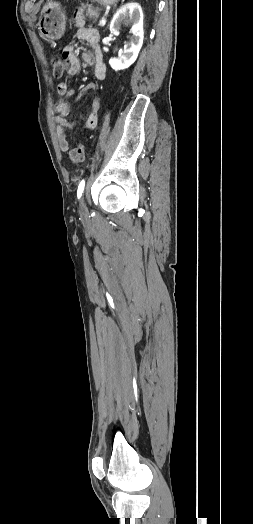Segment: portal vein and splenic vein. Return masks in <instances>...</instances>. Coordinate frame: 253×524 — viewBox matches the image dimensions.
<instances>
[{
    "label": "portal vein and splenic vein",
    "instance_id": "obj_1",
    "mask_svg": "<svg viewBox=\"0 0 253 524\" xmlns=\"http://www.w3.org/2000/svg\"><path fill=\"white\" fill-rule=\"evenodd\" d=\"M106 24V19L102 18L99 22L100 26H104Z\"/></svg>",
    "mask_w": 253,
    "mask_h": 524
}]
</instances>
